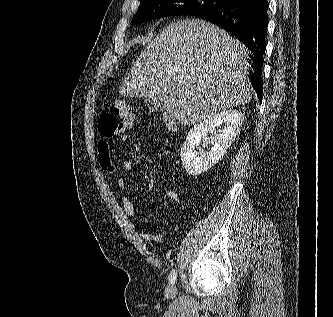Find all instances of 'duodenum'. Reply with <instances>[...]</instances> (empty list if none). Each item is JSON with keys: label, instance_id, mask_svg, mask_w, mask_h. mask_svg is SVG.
Segmentation results:
<instances>
[{"label": "duodenum", "instance_id": "duodenum-1", "mask_svg": "<svg viewBox=\"0 0 333 317\" xmlns=\"http://www.w3.org/2000/svg\"><path fill=\"white\" fill-rule=\"evenodd\" d=\"M166 123H167V126L170 128V129H174L176 127V124L174 122L173 119H171L170 117H168L166 119Z\"/></svg>", "mask_w": 333, "mask_h": 317}]
</instances>
